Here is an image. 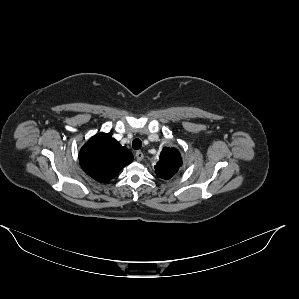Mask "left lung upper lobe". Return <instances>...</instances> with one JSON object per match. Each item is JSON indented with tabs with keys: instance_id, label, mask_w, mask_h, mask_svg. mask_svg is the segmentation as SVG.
<instances>
[{
	"instance_id": "1",
	"label": "left lung upper lobe",
	"mask_w": 299,
	"mask_h": 299,
	"mask_svg": "<svg viewBox=\"0 0 299 299\" xmlns=\"http://www.w3.org/2000/svg\"><path fill=\"white\" fill-rule=\"evenodd\" d=\"M182 165L180 153L174 148L164 147L160 159L154 166L156 175L163 179L172 178Z\"/></svg>"
}]
</instances>
